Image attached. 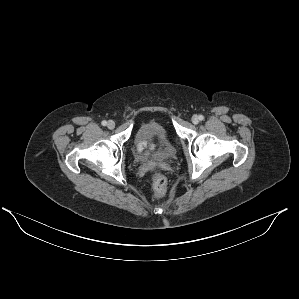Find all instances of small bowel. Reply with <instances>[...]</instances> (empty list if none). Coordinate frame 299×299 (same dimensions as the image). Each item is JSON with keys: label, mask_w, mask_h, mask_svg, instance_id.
Instances as JSON below:
<instances>
[{"label": "small bowel", "mask_w": 299, "mask_h": 299, "mask_svg": "<svg viewBox=\"0 0 299 299\" xmlns=\"http://www.w3.org/2000/svg\"><path fill=\"white\" fill-rule=\"evenodd\" d=\"M146 148H147V145H146V144H142V145H140V146L138 147V150H139L140 152H142V151L146 150ZM149 150H150V151H153V150H154V147H153V146H150V147H149ZM145 152L148 153L147 150H146Z\"/></svg>", "instance_id": "small-bowel-1"}]
</instances>
